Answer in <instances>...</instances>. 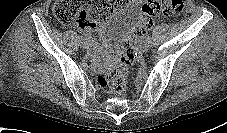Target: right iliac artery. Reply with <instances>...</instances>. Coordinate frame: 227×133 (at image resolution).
<instances>
[{"mask_svg": "<svg viewBox=\"0 0 227 133\" xmlns=\"http://www.w3.org/2000/svg\"><path fill=\"white\" fill-rule=\"evenodd\" d=\"M81 40H82V42L84 41V38L81 36Z\"/></svg>", "mask_w": 227, "mask_h": 133, "instance_id": "obj_1", "label": "right iliac artery"}]
</instances>
